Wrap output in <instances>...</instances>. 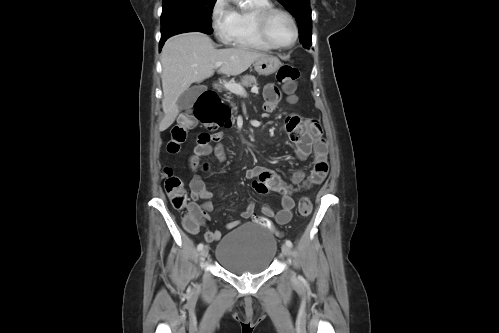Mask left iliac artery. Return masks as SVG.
<instances>
[{
	"instance_id": "left-iliac-artery-1",
	"label": "left iliac artery",
	"mask_w": 499,
	"mask_h": 333,
	"mask_svg": "<svg viewBox=\"0 0 499 333\" xmlns=\"http://www.w3.org/2000/svg\"><path fill=\"white\" fill-rule=\"evenodd\" d=\"M285 244L289 247H292V242L290 240H286ZM299 278L301 279L302 277L299 276Z\"/></svg>"
}]
</instances>
